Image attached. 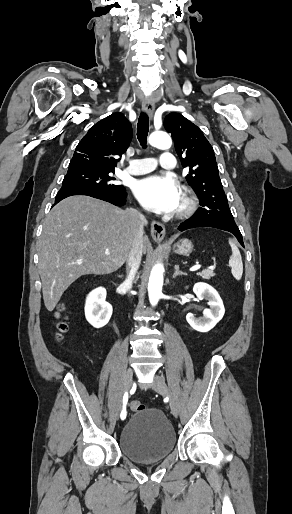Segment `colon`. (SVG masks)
Returning a JSON list of instances; mask_svg holds the SVG:
<instances>
[{"label":"colon","mask_w":292,"mask_h":514,"mask_svg":"<svg viewBox=\"0 0 292 514\" xmlns=\"http://www.w3.org/2000/svg\"><path fill=\"white\" fill-rule=\"evenodd\" d=\"M54 327V339L55 341H61L63 335L67 330L66 317L63 311V307L60 308L59 313L56 315L53 321ZM129 408L136 413H141L145 410V406L138 400H131L128 403Z\"/></svg>","instance_id":"1"}]
</instances>
